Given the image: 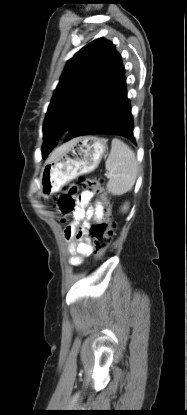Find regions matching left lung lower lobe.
<instances>
[{"label":"left lung lower lobe","mask_w":187,"mask_h":415,"mask_svg":"<svg viewBox=\"0 0 187 415\" xmlns=\"http://www.w3.org/2000/svg\"><path fill=\"white\" fill-rule=\"evenodd\" d=\"M125 69L114 50L97 78L90 99H98L99 109L84 116L69 130L65 141L92 134H111L135 143L130 101L127 97Z\"/></svg>","instance_id":"0a47b994"}]
</instances>
